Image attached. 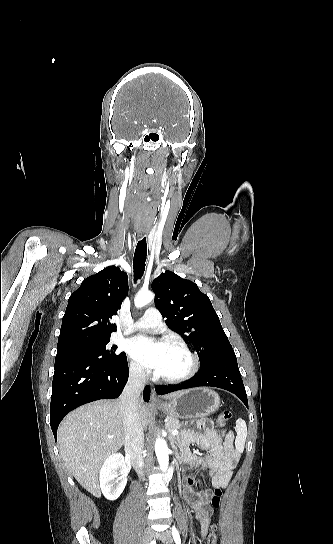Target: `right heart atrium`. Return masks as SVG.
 <instances>
[{"instance_id":"obj_1","label":"right heart atrium","mask_w":333,"mask_h":544,"mask_svg":"<svg viewBox=\"0 0 333 544\" xmlns=\"http://www.w3.org/2000/svg\"><path fill=\"white\" fill-rule=\"evenodd\" d=\"M129 372L133 377L137 379H143L146 376L144 368L135 360H130Z\"/></svg>"}]
</instances>
